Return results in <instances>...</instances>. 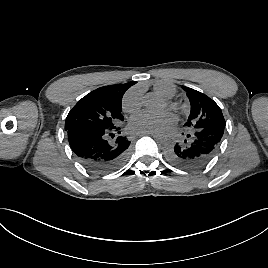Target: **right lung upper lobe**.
<instances>
[{
  "label": "right lung upper lobe",
  "instance_id": "obj_1",
  "mask_svg": "<svg viewBox=\"0 0 268 268\" xmlns=\"http://www.w3.org/2000/svg\"><path fill=\"white\" fill-rule=\"evenodd\" d=\"M135 83H136V81L125 83V84H115V85H110V86H104V87H100L94 91L101 93L105 96L122 99L126 90L128 88H130L132 85H134Z\"/></svg>",
  "mask_w": 268,
  "mask_h": 268
}]
</instances>
